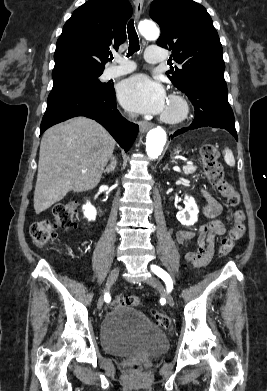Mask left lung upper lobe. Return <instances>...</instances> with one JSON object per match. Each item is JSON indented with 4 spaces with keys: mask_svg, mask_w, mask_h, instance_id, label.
Listing matches in <instances>:
<instances>
[{
    "mask_svg": "<svg viewBox=\"0 0 267 391\" xmlns=\"http://www.w3.org/2000/svg\"><path fill=\"white\" fill-rule=\"evenodd\" d=\"M150 17L159 24L157 45L172 51L181 68L166 74L179 90L199 80H224L219 36L206 9L193 0H154Z\"/></svg>",
    "mask_w": 267,
    "mask_h": 391,
    "instance_id": "5c2ea615",
    "label": "left lung upper lobe"
}]
</instances>
